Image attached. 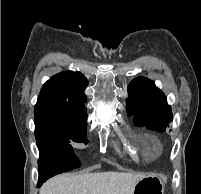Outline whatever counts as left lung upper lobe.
<instances>
[{
	"mask_svg": "<svg viewBox=\"0 0 201 194\" xmlns=\"http://www.w3.org/2000/svg\"><path fill=\"white\" fill-rule=\"evenodd\" d=\"M127 113L134 115L135 124L164 132L172 121L171 107L154 82L137 77L128 86Z\"/></svg>",
	"mask_w": 201,
	"mask_h": 194,
	"instance_id": "left-lung-upper-lobe-1",
	"label": "left lung upper lobe"
}]
</instances>
